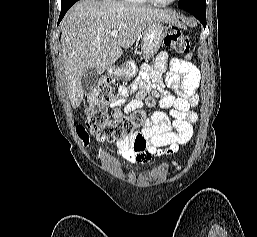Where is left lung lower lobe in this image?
Segmentation results:
<instances>
[{
    "mask_svg": "<svg viewBox=\"0 0 257 237\" xmlns=\"http://www.w3.org/2000/svg\"><path fill=\"white\" fill-rule=\"evenodd\" d=\"M185 11L189 12L193 16H195L203 25L204 29L206 27V10H199L193 8L184 9Z\"/></svg>",
    "mask_w": 257,
    "mask_h": 237,
    "instance_id": "0a47b994",
    "label": "left lung lower lobe"
}]
</instances>
